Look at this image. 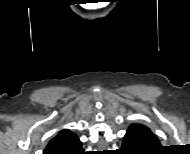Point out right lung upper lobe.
Listing matches in <instances>:
<instances>
[{
  "instance_id": "obj_1",
  "label": "right lung upper lobe",
  "mask_w": 190,
  "mask_h": 154,
  "mask_svg": "<svg viewBox=\"0 0 190 154\" xmlns=\"http://www.w3.org/2000/svg\"><path fill=\"white\" fill-rule=\"evenodd\" d=\"M81 146L76 134L65 129L50 140L43 154H78Z\"/></svg>"
}]
</instances>
